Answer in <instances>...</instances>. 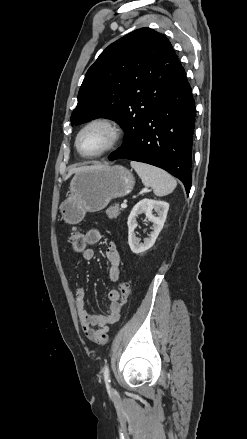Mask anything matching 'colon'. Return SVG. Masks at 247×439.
I'll use <instances>...</instances> for the list:
<instances>
[{
    "label": "colon",
    "mask_w": 247,
    "mask_h": 439,
    "mask_svg": "<svg viewBox=\"0 0 247 439\" xmlns=\"http://www.w3.org/2000/svg\"><path fill=\"white\" fill-rule=\"evenodd\" d=\"M71 243L73 250L76 253H82L86 248L84 234L80 230H74L71 234ZM131 282L130 280H124L119 285V292L121 295V303H125L130 293Z\"/></svg>",
    "instance_id": "obj_1"
}]
</instances>
